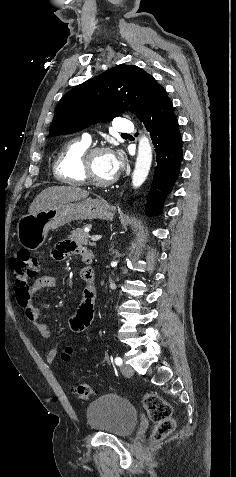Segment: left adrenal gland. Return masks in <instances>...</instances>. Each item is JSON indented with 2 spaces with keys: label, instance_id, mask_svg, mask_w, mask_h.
Listing matches in <instances>:
<instances>
[{
  "label": "left adrenal gland",
  "instance_id": "obj_1",
  "mask_svg": "<svg viewBox=\"0 0 236 477\" xmlns=\"http://www.w3.org/2000/svg\"><path fill=\"white\" fill-rule=\"evenodd\" d=\"M113 248H114V244L112 245V248H111V250H113Z\"/></svg>",
  "mask_w": 236,
  "mask_h": 477
}]
</instances>
